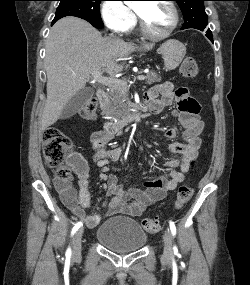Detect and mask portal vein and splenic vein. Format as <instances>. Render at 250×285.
<instances>
[{
	"label": "portal vein and splenic vein",
	"mask_w": 250,
	"mask_h": 285,
	"mask_svg": "<svg viewBox=\"0 0 250 285\" xmlns=\"http://www.w3.org/2000/svg\"><path fill=\"white\" fill-rule=\"evenodd\" d=\"M92 77L95 81H97L100 84L109 86V87H125L127 88V82L125 80L116 79L114 77H105L103 76V71H97L92 74ZM144 75H138L135 77V80L143 81L145 80Z\"/></svg>",
	"instance_id": "18ae733b"
}]
</instances>
